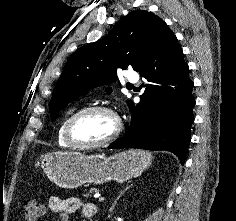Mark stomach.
I'll list each match as a JSON object with an SVG mask.
<instances>
[{
	"mask_svg": "<svg viewBox=\"0 0 236 221\" xmlns=\"http://www.w3.org/2000/svg\"><path fill=\"white\" fill-rule=\"evenodd\" d=\"M152 161L144 150H125L111 156L84 155L80 152H53L40 159L46 176L57 186L74 189L87 184L111 180L125 182L138 176Z\"/></svg>",
	"mask_w": 236,
	"mask_h": 221,
	"instance_id": "stomach-1",
	"label": "stomach"
}]
</instances>
